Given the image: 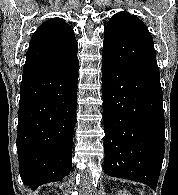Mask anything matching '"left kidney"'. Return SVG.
<instances>
[{
  "mask_svg": "<svg viewBox=\"0 0 178 195\" xmlns=\"http://www.w3.org/2000/svg\"><path fill=\"white\" fill-rule=\"evenodd\" d=\"M117 195H131V194L126 191H119Z\"/></svg>",
  "mask_w": 178,
  "mask_h": 195,
  "instance_id": "1",
  "label": "left kidney"
}]
</instances>
